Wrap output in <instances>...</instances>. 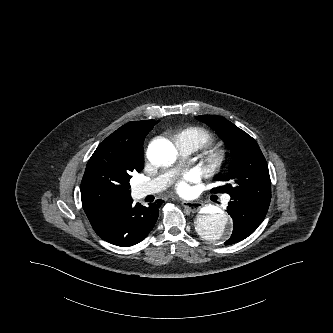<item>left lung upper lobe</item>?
Masks as SVG:
<instances>
[{
  "instance_id": "5c2ea615",
  "label": "left lung upper lobe",
  "mask_w": 333,
  "mask_h": 333,
  "mask_svg": "<svg viewBox=\"0 0 333 333\" xmlns=\"http://www.w3.org/2000/svg\"><path fill=\"white\" fill-rule=\"evenodd\" d=\"M198 120L208 124L231 149L234 160L229 173L217 175L225 185L213 193H228L231 199L270 205L271 181L266 160L257 142L230 121L217 115H201Z\"/></svg>"
}]
</instances>
